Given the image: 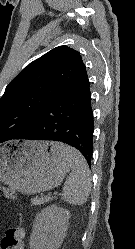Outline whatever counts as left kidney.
<instances>
[{
    "label": "left kidney",
    "instance_id": "1",
    "mask_svg": "<svg viewBox=\"0 0 135 249\" xmlns=\"http://www.w3.org/2000/svg\"><path fill=\"white\" fill-rule=\"evenodd\" d=\"M70 212L56 205L47 206L35 217L30 249H58L69 225Z\"/></svg>",
    "mask_w": 135,
    "mask_h": 249
}]
</instances>
